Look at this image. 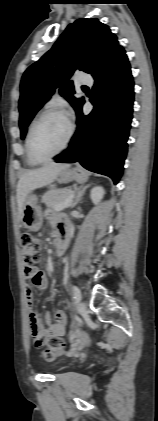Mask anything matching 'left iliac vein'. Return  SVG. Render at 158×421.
Returning <instances> with one entry per match:
<instances>
[{
  "instance_id": "4c4485c4",
  "label": "left iliac vein",
  "mask_w": 158,
  "mask_h": 421,
  "mask_svg": "<svg viewBox=\"0 0 158 421\" xmlns=\"http://www.w3.org/2000/svg\"><path fill=\"white\" fill-rule=\"evenodd\" d=\"M77 309L80 313L84 312L86 310V304L83 301H79L77 305Z\"/></svg>"
}]
</instances>
